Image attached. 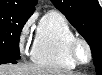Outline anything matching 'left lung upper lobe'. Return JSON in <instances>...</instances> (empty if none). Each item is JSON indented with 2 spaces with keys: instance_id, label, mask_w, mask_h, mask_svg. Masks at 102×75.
Segmentation results:
<instances>
[{
  "instance_id": "1",
  "label": "left lung upper lobe",
  "mask_w": 102,
  "mask_h": 75,
  "mask_svg": "<svg viewBox=\"0 0 102 75\" xmlns=\"http://www.w3.org/2000/svg\"><path fill=\"white\" fill-rule=\"evenodd\" d=\"M90 45L97 74H102V9L98 0H51Z\"/></svg>"
}]
</instances>
